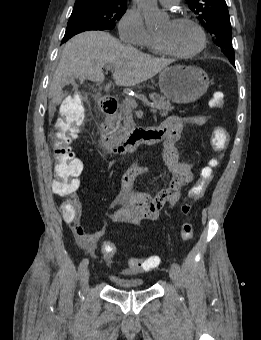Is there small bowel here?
Listing matches in <instances>:
<instances>
[{"label": "small bowel", "instance_id": "1", "mask_svg": "<svg viewBox=\"0 0 261 340\" xmlns=\"http://www.w3.org/2000/svg\"><path fill=\"white\" fill-rule=\"evenodd\" d=\"M206 122L205 116L187 118L171 116L157 127L163 146V161L171 172V179L168 185L155 195L140 193L134 190L135 179L146 173L147 168L132 166L127 169L122 176V191L113 201V206H118L119 209L109 215L112 223L139 225L143 221H155L164 206L173 208L177 204L182 188L192 183L194 174L193 164L180 159L176 143L186 123L204 125ZM75 205V214L63 215V219L69 225L78 245L91 254L95 251L97 242L105 235L106 226L87 234L81 225L82 206L78 199Z\"/></svg>", "mask_w": 261, "mask_h": 340}]
</instances>
